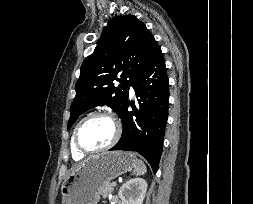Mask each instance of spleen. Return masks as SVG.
Returning <instances> with one entry per match:
<instances>
[{
	"label": "spleen",
	"mask_w": 253,
	"mask_h": 204,
	"mask_svg": "<svg viewBox=\"0 0 253 204\" xmlns=\"http://www.w3.org/2000/svg\"><path fill=\"white\" fill-rule=\"evenodd\" d=\"M147 169L143 161L136 159L133 174L134 175H144L146 173Z\"/></svg>",
	"instance_id": "1"
}]
</instances>
